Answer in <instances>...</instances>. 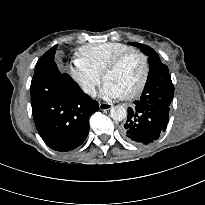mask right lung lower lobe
<instances>
[{"instance_id":"98d812e1","label":"right lung lower lobe","mask_w":205,"mask_h":205,"mask_svg":"<svg viewBox=\"0 0 205 205\" xmlns=\"http://www.w3.org/2000/svg\"><path fill=\"white\" fill-rule=\"evenodd\" d=\"M57 45L38 60L31 81V105L36 128L53 150L70 151L89 133V117L98 102L85 94L54 62Z\"/></svg>"}]
</instances>
